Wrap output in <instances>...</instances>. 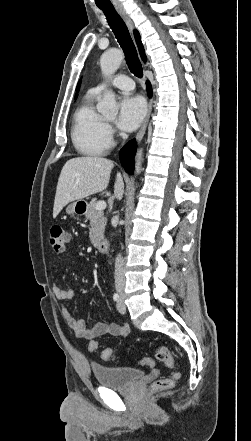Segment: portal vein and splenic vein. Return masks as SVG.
I'll list each match as a JSON object with an SVG mask.
<instances>
[{
	"label": "portal vein and splenic vein",
	"mask_w": 251,
	"mask_h": 441,
	"mask_svg": "<svg viewBox=\"0 0 251 441\" xmlns=\"http://www.w3.org/2000/svg\"><path fill=\"white\" fill-rule=\"evenodd\" d=\"M106 208V202L105 201H98L96 204L97 210H104Z\"/></svg>",
	"instance_id": "18ae733b"
}]
</instances>
